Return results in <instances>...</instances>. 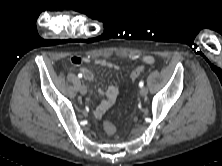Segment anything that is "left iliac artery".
Segmentation results:
<instances>
[{
  "mask_svg": "<svg viewBox=\"0 0 222 166\" xmlns=\"http://www.w3.org/2000/svg\"><path fill=\"white\" fill-rule=\"evenodd\" d=\"M143 85H144V82H143V81H140V82H139V86H140V87H143Z\"/></svg>",
  "mask_w": 222,
  "mask_h": 166,
  "instance_id": "44dca946",
  "label": "left iliac artery"
}]
</instances>
